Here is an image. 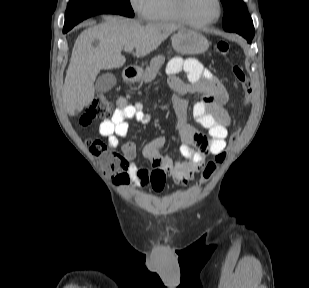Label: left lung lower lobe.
<instances>
[{
    "label": "left lung lower lobe",
    "mask_w": 309,
    "mask_h": 288,
    "mask_svg": "<svg viewBox=\"0 0 309 288\" xmlns=\"http://www.w3.org/2000/svg\"><path fill=\"white\" fill-rule=\"evenodd\" d=\"M229 32H236V33L242 35L243 37H245L247 39V41L249 43H251L252 38L254 37L253 24L246 25V26L239 27V28H234V29L230 30Z\"/></svg>",
    "instance_id": "0a47b994"
}]
</instances>
